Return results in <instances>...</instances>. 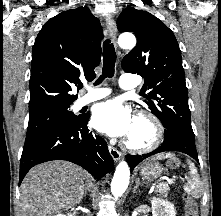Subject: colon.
<instances>
[{
  "label": "colon",
  "instance_id": "5ec220e1",
  "mask_svg": "<svg viewBox=\"0 0 221 216\" xmlns=\"http://www.w3.org/2000/svg\"><path fill=\"white\" fill-rule=\"evenodd\" d=\"M178 161L174 160L171 162L172 167H177ZM185 201V216H198V207L196 202L188 195L184 196Z\"/></svg>",
  "mask_w": 221,
  "mask_h": 216
}]
</instances>
